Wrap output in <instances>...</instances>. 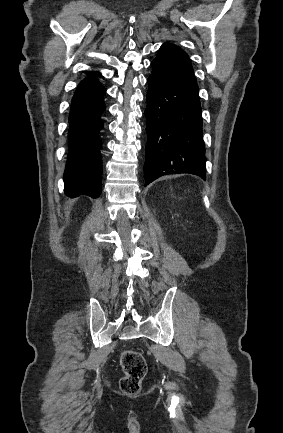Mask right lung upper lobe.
<instances>
[{
  "label": "right lung upper lobe",
  "instance_id": "obj_1",
  "mask_svg": "<svg viewBox=\"0 0 283 433\" xmlns=\"http://www.w3.org/2000/svg\"><path fill=\"white\" fill-rule=\"evenodd\" d=\"M97 75H100V74L99 73H92L91 76H89V77H93V76H97Z\"/></svg>",
  "mask_w": 283,
  "mask_h": 433
}]
</instances>
